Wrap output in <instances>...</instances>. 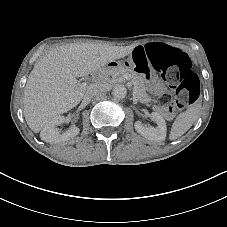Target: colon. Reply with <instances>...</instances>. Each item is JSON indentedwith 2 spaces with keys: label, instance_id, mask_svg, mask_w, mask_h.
<instances>
[{
  "label": "colon",
  "instance_id": "1",
  "mask_svg": "<svg viewBox=\"0 0 227 227\" xmlns=\"http://www.w3.org/2000/svg\"><path fill=\"white\" fill-rule=\"evenodd\" d=\"M147 59L140 53L132 54V62L136 69L149 74L151 70L158 71L162 78L174 89V97L166 93L160 96L156 105L167 116H172L186 103L194 102L200 94L198 76L192 70L189 57L181 50L162 43L146 45Z\"/></svg>",
  "mask_w": 227,
  "mask_h": 227
}]
</instances>
